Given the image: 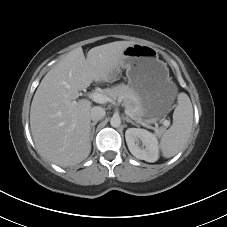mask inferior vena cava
Listing matches in <instances>:
<instances>
[{
	"instance_id": "602c4592",
	"label": "inferior vena cava",
	"mask_w": 227,
	"mask_h": 227,
	"mask_svg": "<svg viewBox=\"0 0 227 227\" xmlns=\"http://www.w3.org/2000/svg\"><path fill=\"white\" fill-rule=\"evenodd\" d=\"M104 116H105V110L100 106H95L90 111V118L92 121L101 120Z\"/></svg>"
}]
</instances>
